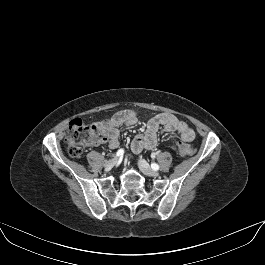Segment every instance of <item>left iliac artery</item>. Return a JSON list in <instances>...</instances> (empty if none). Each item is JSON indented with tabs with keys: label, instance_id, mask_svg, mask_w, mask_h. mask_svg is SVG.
I'll use <instances>...</instances> for the list:
<instances>
[{
	"label": "left iliac artery",
	"instance_id": "44dca946",
	"mask_svg": "<svg viewBox=\"0 0 265 265\" xmlns=\"http://www.w3.org/2000/svg\"><path fill=\"white\" fill-rule=\"evenodd\" d=\"M151 168L153 169V170H158L159 169V165L158 164H156V163H152L151 164Z\"/></svg>",
	"mask_w": 265,
	"mask_h": 265
}]
</instances>
